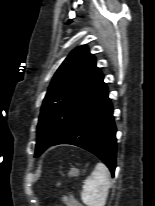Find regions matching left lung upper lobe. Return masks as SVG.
I'll return each instance as SVG.
<instances>
[{"label":"left lung upper lobe","mask_w":155,"mask_h":206,"mask_svg":"<svg viewBox=\"0 0 155 206\" xmlns=\"http://www.w3.org/2000/svg\"><path fill=\"white\" fill-rule=\"evenodd\" d=\"M107 90L102 72L87 46L74 49L58 68L44 98L35 157L65 135Z\"/></svg>","instance_id":"5c2ea615"}]
</instances>
